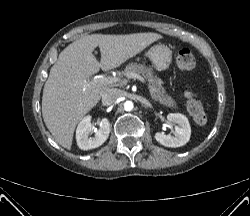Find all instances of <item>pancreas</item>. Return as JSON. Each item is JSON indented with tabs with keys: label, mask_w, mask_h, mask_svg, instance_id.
<instances>
[{
	"label": "pancreas",
	"mask_w": 250,
	"mask_h": 216,
	"mask_svg": "<svg viewBox=\"0 0 250 216\" xmlns=\"http://www.w3.org/2000/svg\"><path fill=\"white\" fill-rule=\"evenodd\" d=\"M131 73L141 74L147 80L150 94L154 100L167 107L177 108L176 101L168 95L163 87V81L154 74L152 68H148L143 64L131 63L126 66L122 74L129 78L128 75ZM124 84L125 82L121 83V85Z\"/></svg>",
	"instance_id": "obj_1"
}]
</instances>
